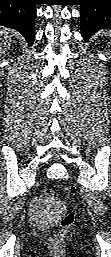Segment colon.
Here are the masks:
<instances>
[{"label": "colon", "mask_w": 111, "mask_h": 257, "mask_svg": "<svg viewBox=\"0 0 111 257\" xmlns=\"http://www.w3.org/2000/svg\"><path fill=\"white\" fill-rule=\"evenodd\" d=\"M41 197L43 200L49 203L52 209L59 211L60 228L53 234L52 237V241L55 244H59L63 241L66 233L74 223V213L65 209L59 202L55 200V192L51 188L43 189Z\"/></svg>", "instance_id": "colon-1"}]
</instances>
